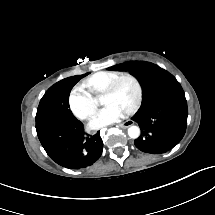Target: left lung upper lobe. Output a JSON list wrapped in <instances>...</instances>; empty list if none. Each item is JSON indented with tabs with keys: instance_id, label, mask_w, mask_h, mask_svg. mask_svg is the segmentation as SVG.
I'll list each match as a JSON object with an SVG mask.
<instances>
[{
	"instance_id": "5c2ea615",
	"label": "left lung upper lobe",
	"mask_w": 215,
	"mask_h": 215,
	"mask_svg": "<svg viewBox=\"0 0 215 215\" xmlns=\"http://www.w3.org/2000/svg\"><path fill=\"white\" fill-rule=\"evenodd\" d=\"M110 69L129 70L142 85V105L132 117L141 129L135 146L151 154L176 146L185 134L188 111L184 91L175 77L148 62H126Z\"/></svg>"
}]
</instances>
